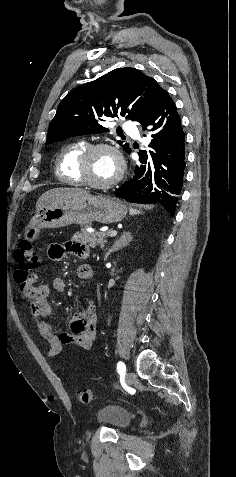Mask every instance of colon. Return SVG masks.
<instances>
[{"instance_id":"obj_1","label":"colon","mask_w":236,"mask_h":477,"mask_svg":"<svg viewBox=\"0 0 236 477\" xmlns=\"http://www.w3.org/2000/svg\"><path fill=\"white\" fill-rule=\"evenodd\" d=\"M15 268L14 277L22 290L31 291L35 287L36 275L40 267V256L35 252L31 243H21L14 254ZM94 398V392L90 388H83L78 393L81 403H90Z\"/></svg>"}]
</instances>
